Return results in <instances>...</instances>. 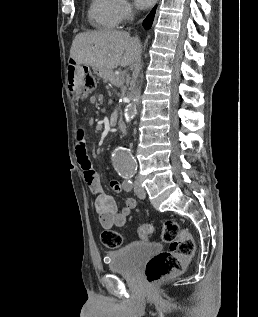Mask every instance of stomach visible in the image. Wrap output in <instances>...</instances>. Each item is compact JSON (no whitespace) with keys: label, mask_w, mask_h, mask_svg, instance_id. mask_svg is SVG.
<instances>
[{"label":"stomach","mask_w":258,"mask_h":317,"mask_svg":"<svg viewBox=\"0 0 258 317\" xmlns=\"http://www.w3.org/2000/svg\"><path fill=\"white\" fill-rule=\"evenodd\" d=\"M77 68H79V70H82V68H84V66H80V64H78Z\"/></svg>","instance_id":"0dacf381"}]
</instances>
